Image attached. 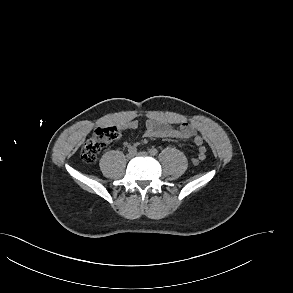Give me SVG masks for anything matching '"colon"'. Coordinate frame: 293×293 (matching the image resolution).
Wrapping results in <instances>:
<instances>
[{"label":"colon","mask_w":293,"mask_h":293,"mask_svg":"<svg viewBox=\"0 0 293 293\" xmlns=\"http://www.w3.org/2000/svg\"><path fill=\"white\" fill-rule=\"evenodd\" d=\"M120 136L119 128L116 126L99 127L95 130L92 137L84 144L81 149V158L86 163L96 161L100 151L117 140ZM205 159V152L201 150L197 158L193 159V164L197 165Z\"/></svg>","instance_id":"1"}]
</instances>
